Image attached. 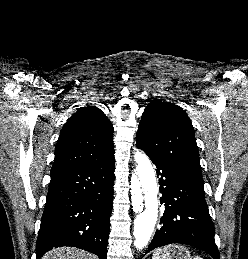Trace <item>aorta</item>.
I'll use <instances>...</instances> for the list:
<instances>
[{
    "label": "aorta",
    "instance_id": "obj_1",
    "mask_svg": "<svg viewBox=\"0 0 248 259\" xmlns=\"http://www.w3.org/2000/svg\"><path fill=\"white\" fill-rule=\"evenodd\" d=\"M134 158L138 167L131 177L132 210L136 215L133 236L134 246L142 250L148 245L157 223L158 186L149 158L139 150Z\"/></svg>",
    "mask_w": 248,
    "mask_h": 259
}]
</instances>
